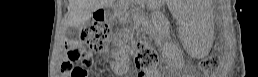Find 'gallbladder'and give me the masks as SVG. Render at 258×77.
Returning a JSON list of instances; mask_svg holds the SVG:
<instances>
[{"mask_svg": "<svg viewBox=\"0 0 258 77\" xmlns=\"http://www.w3.org/2000/svg\"><path fill=\"white\" fill-rule=\"evenodd\" d=\"M79 34H80V27H76V26L68 28L66 32V36L69 39H77L79 37Z\"/></svg>", "mask_w": 258, "mask_h": 77, "instance_id": "bac80fb5", "label": "gallbladder"}]
</instances>
